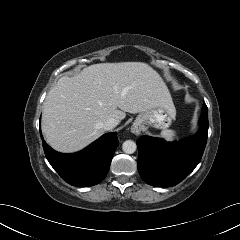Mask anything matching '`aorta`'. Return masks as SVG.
<instances>
[{
  "instance_id": "1",
  "label": "aorta",
  "mask_w": 240,
  "mask_h": 240,
  "mask_svg": "<svg viewBox=\"0 0 240 240\" xmlns=\"http://www.w3.org/2000/svg\"><path fill=\"white\" fill-rule=\"evenodd\" d=\"M137 149L136 143L132 140H126L122 144V150L126 154H133Z\"/></svg>"
}]
</instances>
